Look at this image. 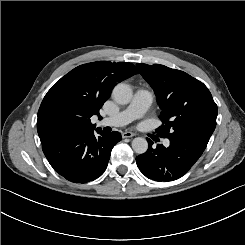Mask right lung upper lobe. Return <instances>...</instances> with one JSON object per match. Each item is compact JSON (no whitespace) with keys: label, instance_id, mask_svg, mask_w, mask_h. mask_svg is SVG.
I'll return each instance as SVG.
<instances>
[{"label":"right lung upper lobe","instance_id":"cb5924a9","mask_svg":"<svg viewBox=\"0 0 245 245\" xmlns=\"http://www.w3.org/2000/svg\"><path fill=\"white\" fill-rule=\"evenodd\" d=\"M138 74L136 67L128 62H92L80 65L62 77L45 95L38 111L37 130L41 143L76 131L69 119L90 121L110 97L114 86Z\"/></svg>","mask_w":245,"mask_h":245}]
</instances>
